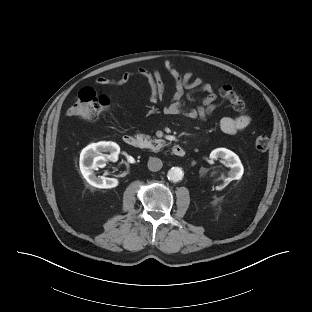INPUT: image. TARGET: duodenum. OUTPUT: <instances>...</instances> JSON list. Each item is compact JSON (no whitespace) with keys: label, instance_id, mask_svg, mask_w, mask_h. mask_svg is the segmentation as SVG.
<instances>
[{"label":"duodenum","instance_id":"obj_1","mask_svg":"<svg viewBox=\"0 0 312 312\" xmlns=\"http://www.w3.org/2000/svg\"><path fill=\"white\" fill-rule=\"evenodd\" d=\"M123 142L125 145L130 147H137L139 145V140L131 134H126L123 136ZM172 153L175 156L182 157L185 154V149L181 145H174L172 147Z\"/></svg>","mask_w":312,"mask_h":312}]
</instances>
